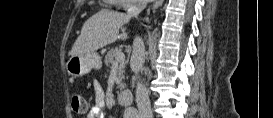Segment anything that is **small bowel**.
I'll use <instances>...</instances> for the list:
<instances>
[{"instance_id": "obj_1", "label": "small bowel", "mask_w": 273, "mask_h": 118, "mask_svg": "<svg viewBox=\"0 0 273 118\" xmlns=\"http://www.w3.org/2000/svg\"><path fill=\"white\" fill-rule=\"evenodd\" d=\"M95 105L90 109L88 118H104L105 92L99 83L94 84Z\"/></svg>"}]
</instances>
